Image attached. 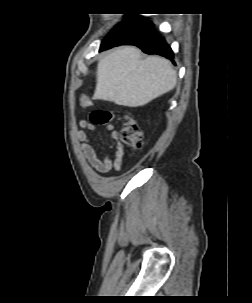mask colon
<instances>
[{"label": "colon", "instance_id": "1", "mask_svg": "<svg viewBox=\"0 0 252 303\" xmlns=\"http://www.w3.org/2000/svg\"><path fill=\"white\" fill-rule=\"evenodd\" d=\"M89 120L95 125H106L113 120V113L106 109H96L91 112ZM121 141L135 149L141 145V134L133 117L125 116L120 132Z\"/></svg>", "mask_w": 252, "mask_h": 303}]
</instances>
